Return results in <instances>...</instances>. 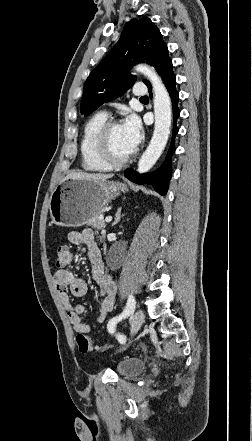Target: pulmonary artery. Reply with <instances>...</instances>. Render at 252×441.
Listing matches in <instances>:
<instances>
[{
  "instance_id": "e3ab8cb5",
  "label": "pulmonary artery",
  "mask_w": 252,
  "mask_h": 441,
  "mask_svg": "<svg viewBox=\"0 0 252 441\" xmlns=\"http://www.w3.org/2000/svg\"><path fill=\"white\" fill-rule=\"evenodd\" d=\"M133 93L135 96L143 97L146 96V94L148 93V89L146 86H144V84L139 83L136 84Z\"/></svg>"
}]
</instances>
